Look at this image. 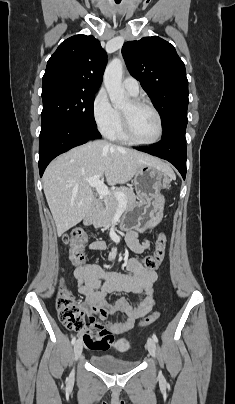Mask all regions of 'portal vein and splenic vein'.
Here are the masks:
<instances>
[{
    "label": "portal vein and splenic vein",
    "mask_w": 235,
    "mask_h": 404,
    "mask_svg": "<svg viewBox=\"0 0 235 404\" xmlns=\"http://www.w3.org/2000/svg\"><path fill=\"white\" fill-rule=\"evenodd\" d=\"M101 177H102V175H95V176L87 179V181L91 187H94L96 189V191L98 192V194L100 196L105 197V196L114 195L117 197V199L120 201V203L124 204L125 203L124 195L119 191H113V192L109 191V189L103 183V181L100 180Z\"/></svg>",
    "instance_id": "portal-vein-and-splenic-vein-1"
}]
</instances>
